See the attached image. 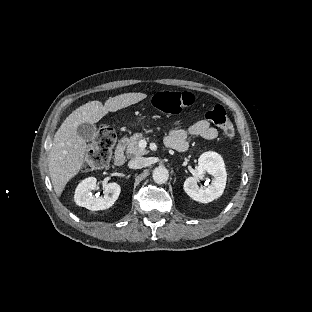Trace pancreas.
<instances>
[{
	"label": "pancreas",
	"mask_w": 312,
	"mask_h": 312,
	"mask_svg": "<svg viewBox=\"0 0 312 312\" xmlns=\"http://www.w3.org/2000/svg\"><path fill=\"white\" fill-rule=\"evenodd\" d=\"M145 136H146V132L134 134L128 141V145L125 149V153L130 154L132 156H139L142 154H146L147 152L141 151L138 147L139 142L145 139Z\"/></svg>",
	"instance_id": "cf45deb5"
}]
</instances>
